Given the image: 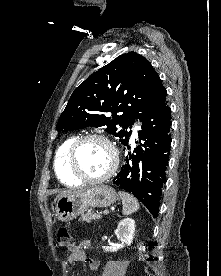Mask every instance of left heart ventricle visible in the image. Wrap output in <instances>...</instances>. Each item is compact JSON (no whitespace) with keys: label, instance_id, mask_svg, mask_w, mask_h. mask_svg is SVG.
<instances>
[{"label":"left heart ventricle","instance_id":"1","mask_svg":"<svg viewBox=\"0 0 221 276\" xmlns=\"http://www.w3.org/2000/svg\"><path fill=\"white\" fill-rule=\"evenodd\" d=\"M77 163L85 175L98 177L110 168L112 164V153L104 142L88 140L81 144L78 149Z\"/></svg>","mask_w":221,"mask_h":276}]
</instances>
